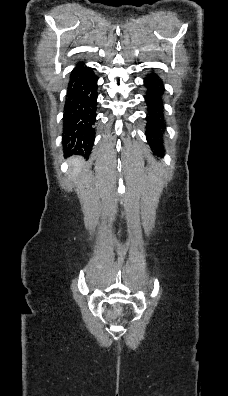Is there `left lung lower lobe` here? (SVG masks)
Returning <instances> with one entry per match:
<instances>
[{
	"instance_id": "0a47b994",
	"label": "left lung lower lobe",
	"mask_w": 228,
	"mask_h": 396,
	"mask_svg": "<svg viewBox=\"0 0 228 396\" xmlns=\"http://www.w3.org/2000/svg\"><path fill=\"white\" fill-rule=\"evenodd\" d=\"M144 86L146 87L145 100L147 103V126L146 136L147 140L154 150L156 155H164L163 147V133L165 129V122L163 117V100L164 87L162 80L155 74H149L144 79Z\"/></svg>"
}]
</instances>
